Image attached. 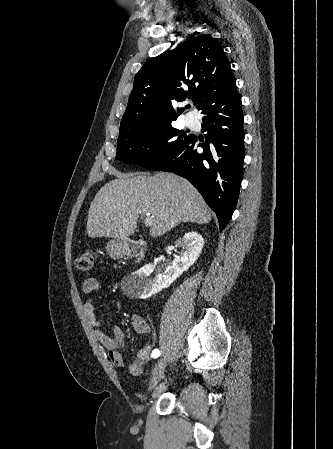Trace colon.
<instances>
[{
	"label": "colon",
	"mask_w": 333,
	"mask_h": 449,
	"mask_svg": "<svg viewBox=\"0 0 333 449\" xmlns=\"http://www.w3.org/2000/svg\"><path fill=\"white\" fill-rule=\"evenodd\" d=\"M94 264V255L92 252H84L75 260L76 268L82 272H89Z\"/></svg>",
	"instance_id": "1"
}]
</instances>
